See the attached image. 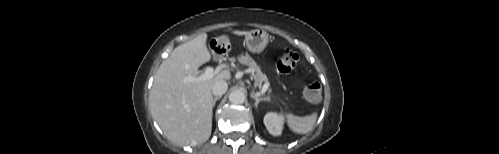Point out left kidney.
I'll use <instances>...</instances> for the list:
<instances>
[{
  "label": "left kidney",
  "instance_id": "1",
  "mask_svg": "<svg viewBox=\"0 0 499 154\" xmlns=\"http://www.w3.org/2000/svg\"><path fill=\"white\" fill-rule=\"evenodd\" d=\"M264 124L270 134L281 135L283 129V117L277 113H267L264 117Z\"/></svg>",
  "mask_w": 499,
  "mask_h": 154
}]
</instances>
